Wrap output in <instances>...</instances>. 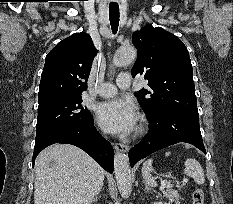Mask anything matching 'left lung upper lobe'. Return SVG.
Returning a JSON list of instances; mask_svg holds the SVG:
<instances>
[{
	"instance_id": "1",
	"label": "left lung upper lobe",
	"mask_w": 233,
	"mask_h": 204,
	"mask_svg": "<svg viewBox=\"0 0 233 204\" xmlns=\"http://www.w3.org/2000/svg\"><path fill=\"white\" fill-rule=\"evenodd\" d=\"M132 42L138 53L132 74H143L150 87L135 92L147 116L166 110L198 113L191 60L183 42L152 25L134 32Z\"/></svg>"
}]
</instances>
